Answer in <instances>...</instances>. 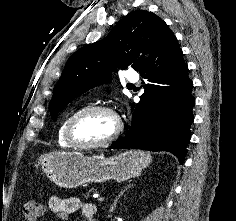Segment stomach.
<instances>
[{"mask_svg": "<svg viewBox=\"0 0 236 221\" xmlns=\"http://www.w3.org/2000/svg\"><path fill=\"white\" fill-rule=\"evenodd\" d=\"M150 163L149 153L136 150L111 157L85 156L79 152H53L39 159V165L46 176L63 188H76L111 179L125 181L140 174Z\"/></svg>", "mask_w": 236, "mask_h": 221, "instance_id": "1", "label": "stomach"}]
</instances>
